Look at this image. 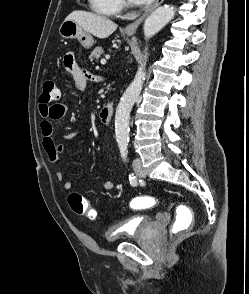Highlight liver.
I'll return each mask as SVG.
<instances>
[{
	"label": "liver",
	"mask_w": 249,
	"mask_h": 294,
	"mask_svg": "<svg viewBox=\"0 0 249 294\" xmlns=\"http://www.w3.org/2000/svg\"><path fill=\"white\" fill-rule=\"evenodd\" d=\"M66 19L76 22L84 31L101 39L109 37L117 29V24L107 17L87 11H73Z\"/></svg>",
	"instance_id": "6515ba94"
}]
</instances>
